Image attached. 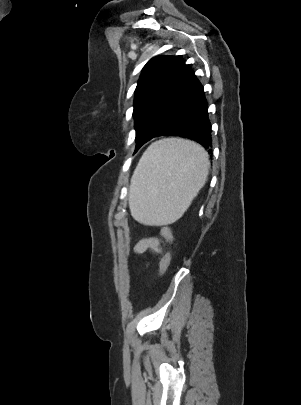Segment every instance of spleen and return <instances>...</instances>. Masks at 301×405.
I'll return each mask as SVG.
<instances>
[{
    "mask_svg": "<svg viewBox=\"0 0 301 405\" xmlns=\"http://www.w3.org/2000/svg\"><path fill=\"white\" fill-rule=\"evenodd\" d=\"M210 161L190 140L167 138L143 153L131 179V215L145 225L177 221L204 186Z\"/></svg>",
    "mask_w": 301,
    "mask_h": 405,
    "instance_id": "3e777b00",
    "label": "spleen"
}]
</instances>
